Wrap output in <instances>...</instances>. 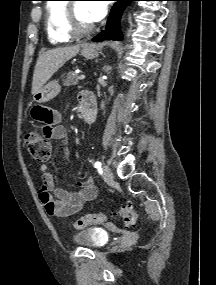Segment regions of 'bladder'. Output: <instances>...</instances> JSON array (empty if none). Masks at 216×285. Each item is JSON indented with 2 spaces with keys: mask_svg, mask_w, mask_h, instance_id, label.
<instances>
[{
  "mask_svg": "<svg viewBox=\"0 0 216 285\" xmlns=\"http://www.w3.org/2000/svg\"><path fill=\"white\" fill-rule=\"evenodd\" d=\"M109 240L106 230L98 227L86 228L73 236V241L83 247L97 249L103 247Z\"/></svg>",
  "mask_w": 216,
  "mask_h": 285,
  "instance_id": "bladder-1",
  "label": "bladder"
}]
</instances>
